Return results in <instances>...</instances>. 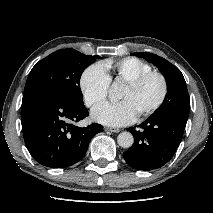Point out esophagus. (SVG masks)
<instances>
[{
    "mask_svg": "<svg viewBox=\"0 0 213 213\" xmlns=\"http://www.w3.org/2000/svg\"><path fill=\"white\" fill-rule=\"evenodd\" d=\"M104 130L105 131H110V132H113V133L120 132V129L119 128H115V127H105Z\"/></svg>",
    "mask_w": 213,
    "mask_h": 213,
    "instance_id": "1",
    "label": "esophagus"
}]
</instances>
